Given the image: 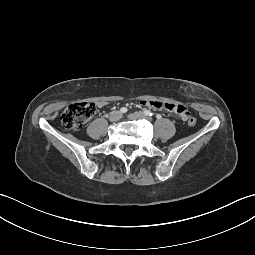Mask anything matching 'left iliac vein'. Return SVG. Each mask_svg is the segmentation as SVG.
Returning <instances> with one entry per match:
<instances>
[{
  "mask_svg": "<svg viewBox=\"0 0 255 255\" xmlns=\"http://www.w3.org/2000/svg\"><path fill=\"white\" fill-rule=\"evenodd\" d=\"M147 116L143 112H135L128 115V118L130 119H140V118H146Z\"/></svg>",
  "mask_w": 255,
  "mask_h": 255,
  "instance_id": "obj_1",
  "label": "left iliac vein"
}]
</instances>
